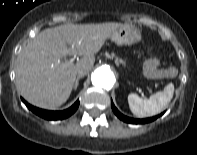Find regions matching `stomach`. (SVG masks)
Wrapping results in <instances>:
<instances>
[{
  "label": "stomach",
  "mask_w": 197,
  "mask_h": 155,
  "mask_svg": "<svg viewBox=\"0 0 197 155\" xmlns=\"http://www.w3.org/2000/svg\"><path fill=\"white\" fill-rule=\"evenodd\" d=\"M110 38L118 45H132L141 40V33L135 26L126 24L114 30Z\"/></svg>",
  "instance_id": "0dacf381"
}]
</instances>
